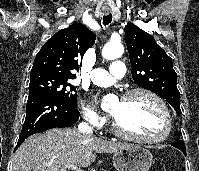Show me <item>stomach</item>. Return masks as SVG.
I'll list each match as a JSON object with an SVG mask.
<instances>
[{"label": "stomach", "instance_id": "stomach-1", "mask_svg": "<svg viewBox=\"0 0 199 171\" xmlns=\"http://www.w3.org/2000/svg\"><path fill=\"white\" fill-rule=\"evenodd\" d=\"M152 162L151 152L138 145H129L113 155V165L117 171H148Z\"/></svg>", "mask_w": 199, "mask_h": 171}]
</instances>
